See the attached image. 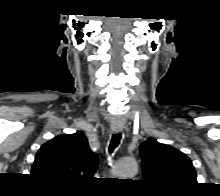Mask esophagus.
<instances>
[{
  "label": "esophagus",
  "mask_w": 220,
  "mask_h": 196,
  "mask_svg": "<svg viewBox=\"0 0 220 196\" xmlns=\"http://www.w3.org/2000/svg\"><path fill=\"white\" fill-rule=\"evenodd\" d=\"M111 130L113 132H120L121 131V128L120 127H116V126H111Z\"/></svg>",
  "instance_id": "esophagus-1"
}]
</instances>
